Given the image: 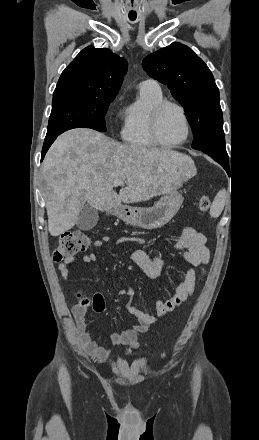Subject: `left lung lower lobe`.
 <instances>
[{"label":"left lung lower lobe","mask_w":259,"mask_h":440,"mask_svg":"<svg viewBox=\"0 0 259 440\" xmlns=\"http://www.w3.org/2000/svg\"><path fill=\"white\" fill-rule=\"evenodd\" d=\"M200 151L211 156L228 172L229 170V158L226 149H200Z\"/></svg>","instance_id":"0a47b994"}]
</instances>
